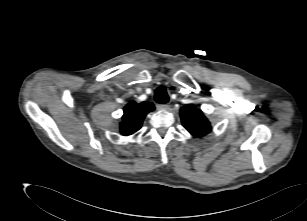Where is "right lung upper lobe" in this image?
Returning a JSON list of instances; mask_svg holds the SVG:
<instances>
[{
  "mask_svg": "<svg viewBox=\"0 0 307 221\" xmlns=\"http://www.w3.org/2000/svg\"><path fill=\"white\" fill-rule=\"evenodd\" d=\"M154 110V105L150 102L136 103L130 101L124 107L120 132L122 135H131L141 128L144 117Z\"/></svg>",
  "mask_w": 307,
  "mask_h": 221,
  "instance_id": "right-lung-upper-lobe-1",
  "label": "right lung upper lobe"
}]
</instances>
